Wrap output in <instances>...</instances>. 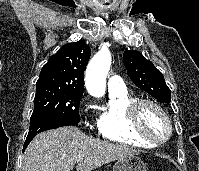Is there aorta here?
I'll return each instance as SVG.
<instances>
[{
	"mask_svg": "<svg viewBox=\"0 0 199 171\" xmlns=\"http://www.w3.org/2000/svg\"><path fill=\"white\" fill-rule=\"evenodd\" d=\"M110 66L111 55L107 49H102L91 59L85 73V86L90 95L102 97L105 94Z\"/></svg>",
	"mask_w": 199,
	"mask_h": 171,
	"instance_id": "762f6f07",
	"label": "aorta"
}]
</instances>
